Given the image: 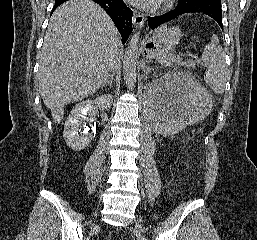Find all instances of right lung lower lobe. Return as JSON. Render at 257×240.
<instances>
[{
  "mask_svg": "<svg viewBox=\"0 0 257 240\" xmlns=\"http://www.w3.org/2000/svg\"><path fill=\"white\" fill-rule=\"evenodd\" d=\"M98 3L111 17L122 36L123 43L129 38L132 31V11L122 0H93ZM59 5H55V10Z\"/></svg>",
  "mask_w": 257,
  "mask_h": 240,
  "instance_id": "obj_1",
  "label": "right lung lower lobe"
}]
</instances>
